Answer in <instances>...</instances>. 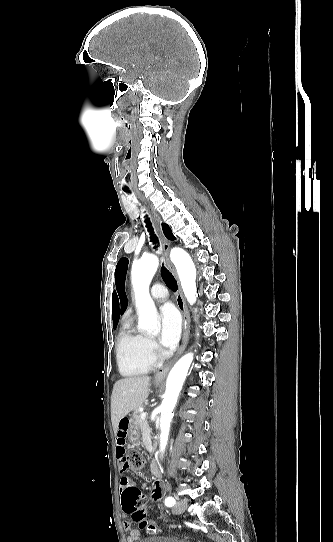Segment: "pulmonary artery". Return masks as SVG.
Listing matches in <instances>:
<instances>
[{
	"instance_id": "e3ab8cb5",
	"label": "pulmonary artery",
	"mask_w": 333,
	"mask_h": 542,
	"mask_svg": "<svg viewBox=\"0 0 333 542\" xmlns=\"http://www.w3.org/2000/svg\"><path fill=\"white\" fill-rule=\"evenodd\" d=\"M164 287L159 282L150 287V296L156 302H164L167 299V294H163Z\"/></svg>"
}]
</instances>
